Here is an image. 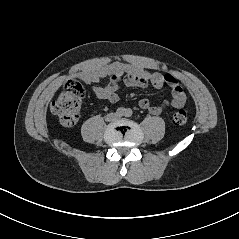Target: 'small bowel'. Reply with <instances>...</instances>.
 Here are the masks:
<instances>
[{"label":"small bowel","instance_id":"c3829d8e","mask_svg":"<svg viewBox=\"0 0 239 239\" xmlns=\"http://www.w3.org/2000/svg\"><path fill=\"white\" fill-rule=\"evenodd\" d=\"M76 77L87 83H96L100 78L109 77V82L104 86H96L94 93L98 99L111 103L119 100L118 90L121 83L128 87H146L150 84L156 89L169 86L171 99L165 100L161 105H155L146 98L138 103L141 109L155 116L161 114L167 106L178 109L182 108L186 102V95L173 75L149 72L137 64L113 62L101 68L83 69L76 74Z\"/></svg>","mask_w":239,"mask_h":239}]
</instances>
